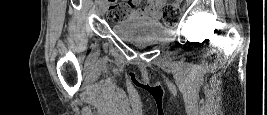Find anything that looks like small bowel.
Returning a JSON list of instances; mask_svg holds the SVG:
<instances>
[{"mask_svg": "<svg viewBox=\"0 0 267 115\" xmlns=\"http://www.w3.org/2000/svg\"><path fill=\"white\" fill-rule=\"evenodd\" d=\"M165 3L164 0H148L146 4L142 7H137L139 4L138 1H133L132 6V15L137 17H149L152 19L158 18L160 8Z\"/></svg>", "mask_w": 267, "mask_h": 115, "instance_id": "obj_1", "label": "small bowel"}]
</instances>
